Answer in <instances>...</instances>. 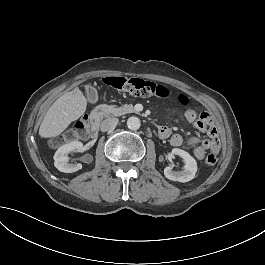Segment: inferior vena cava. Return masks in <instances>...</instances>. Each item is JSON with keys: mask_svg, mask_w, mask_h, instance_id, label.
Segmentation results:
<instances>
[{"mask_svg": "<svg viewBox=\"0 0 265 265\" xmlns=\"http://www.w3.org/2000/svg\"><path fill=\"white\" fill-rule=\"evenodd\" d=\"M119 119L118 118H107L102 121L100 124V130L102 132L109 131L113 129L118 124Z\"/></svg>", "mask_w": 265, "mask_h": 265, "instance_id": "602c4592", "label": "inferior vena cava"}]
</instances>
